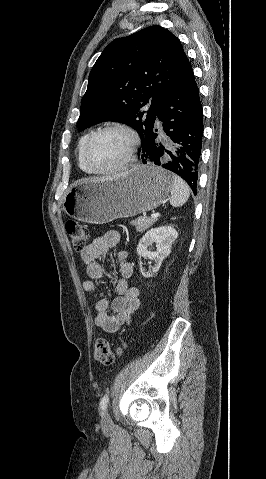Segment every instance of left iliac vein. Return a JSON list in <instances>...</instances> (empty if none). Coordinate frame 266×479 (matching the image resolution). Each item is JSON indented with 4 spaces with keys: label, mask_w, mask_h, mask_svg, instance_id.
I'll use <instances>...</instances> for the list:
<instances>
[{
    "label": "left iliac vein",
    "mask_w": 266,
    "mask_h": 479,
    "mask_svg": "<svg viewBox=\"0 0 266 479\" xmlns=\"http://www.w3.org/2000/svg\"><path fill=\"white\" fill-rule=\"evenodd\" d=\"M102 425L105 427H110L112 425V419L108 411H105L103 414Z\"/></svg>",
    "instance_id": "left-iliac-vein-1"
}]
</instances>
